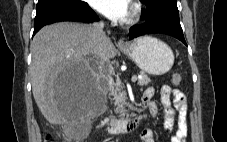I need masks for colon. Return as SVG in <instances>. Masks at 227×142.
<instances>
[{"instance_id":"colon-1","label":"colon","mask_w":227,"mask_h":142,"mask_svg":"<svg viewBox=\"0 0 227 142\" xmlns=\"http://www.w3.org/2000/svg\"><path fill=\"white\" fill-rule=\"evenodd\" d=\"M180 81H181L180 75L179 74H175L173 76V78H172L173 84L177 85V84L180 83ZM44 142H55V141H54V139H53V137L51 135H47L45 140H44Z\"/></svg>"}]
</instances>
